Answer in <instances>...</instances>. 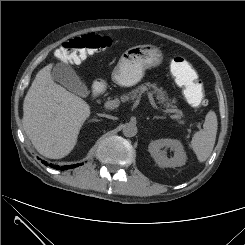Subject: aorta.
Wrapping results in <instances>:
<instances>
[{"label": "aorta", "instance_id": "762f6f07", "mask_svg": "<svg viewBox=\"0 0 245 245\" xmlns=\"http://www.w3.org/2000/svg\"><path fill=\"white\" fill-rule=\"evenodd\" d=\"M123 135L126 137H133L137 134V126L133 122H128L123 125Z\"/></svg>", "mask_w": 245, "mask_h": 245}]
</instances>
